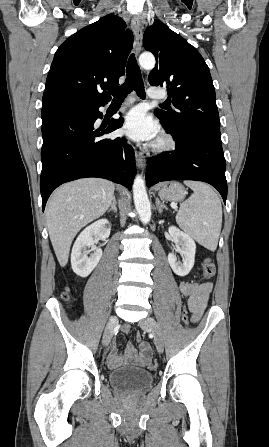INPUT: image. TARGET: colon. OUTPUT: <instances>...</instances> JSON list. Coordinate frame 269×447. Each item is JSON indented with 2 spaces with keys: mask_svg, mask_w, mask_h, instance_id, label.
<instances>
[{
  "mask_svg": "<svg viewBox=\"0 0 269 447\" xmlns=\"http://www.w3.org/2000/svg\"><path fill=\"white\" fill-rule=\"evenodd\" d=\"M202 271H203V277L206 280H211L215 274H216V265L215 263L211 260V259H206L202 265ZM183 317L181 319V324L182 325H187L188 324V319L187 317H189L188 315V310L185 308L183 311ZM143 353L146 356H150L151 355V349L149 347H145L143 349ZM148 368L150 370H155L156 369V362L154 360L149 361L147 364Z\"/></svg>",
  "mask_w": 269,
  "mask_h": 447,
  "instance_id": "5ec220e1",
  "label": "colon"
}]
</instances>
